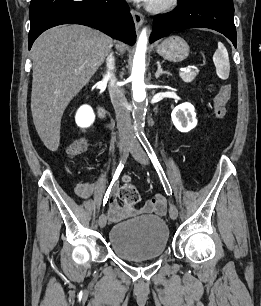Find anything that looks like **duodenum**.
Wrapping results in <instances>:
<instances>
[{
	"label": "duodenum",
	"instance_id": "410a0bca",
	"mask_svg": "<svg viewBox=\"0 0 261 306\" xmlns=\"http://www.w3.org/2000/svg\"><path fill=\"white\" fill-rule=\"evenodd\" d=\"M97 111H98V115L101 119H103L105 121H108V113L102 105H99L97 107Z\"/></svg>",
	"mask_w": 261,
	"mask_h": 306
}]
</instances>
